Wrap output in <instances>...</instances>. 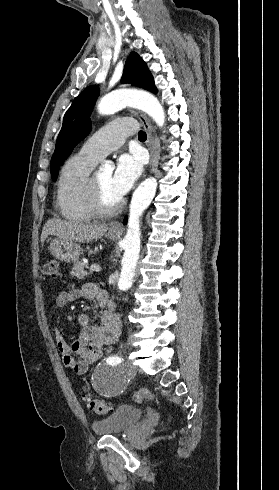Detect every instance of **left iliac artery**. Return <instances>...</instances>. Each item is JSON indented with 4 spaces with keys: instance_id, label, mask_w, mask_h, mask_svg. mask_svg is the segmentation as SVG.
Listing matches in <instances>:
<instances>
[{
    "instance_id": "left-iliac-artery-1",
    "label": "left iliac artery",
    "mask_w": 279,
    "mask_h": 490,
    "mask_svg": "<svg viewBox=\"0 0 279 490\" xmlns=\"http://www.w3.org/2000/svg\"><path fill=\"white\" fill-rule=\"evenodd\" d=\"M123 359L118 356H111L107 359V362L110 364H118L121 363Z\"/></svg>"
}]
</instances>
